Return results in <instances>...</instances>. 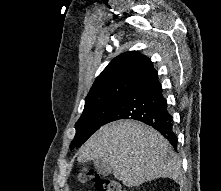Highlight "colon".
<instances>
[{"label": "colon", "instance_id": "5ec220e1", "mask_svg": "<svg viewBox=\"0 0 221 191\" xmlns=\"http://www.w3.org/2000/svg\"><path fill=\"white\" fill-rule=\"evenodd\" d=\"M78 179L82 183L92 181L96 191H125L120 183L102 176L93 169H84L79 173Z\"/></svg>", "mask_w": 221, "mask_h": 191}]
</instances>
